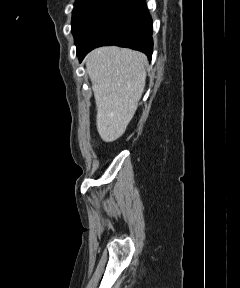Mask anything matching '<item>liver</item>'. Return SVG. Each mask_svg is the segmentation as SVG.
<instances>
[{"mask_svg":"<svg viewBox=\"0 0 240 288\" xmlns=\"http://www.w3.org/2000/svg\"><path fill=\"white\" fill-rule=\"evenodd\" d=\"M85 61L96 102L98 133L103 141L113 142L124 134L137 110L146 83L147 57L110 46L93 50Z\"/></svg>","mask_w":240,"mask_h":288,"instance_id":"6515ba94","label":"liver"}]
</instances>
